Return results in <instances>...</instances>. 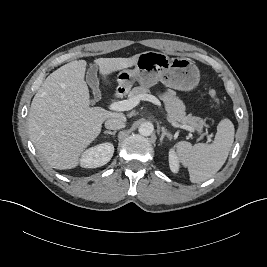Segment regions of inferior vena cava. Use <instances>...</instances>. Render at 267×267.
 <instances>
[{
	"label": "inferior vena cava",
	"instance_id": "inferior-vena-cava-1",
	"mask_svg": "<svg viewBox=\"0 0 267 267\" xmlns=\"http://www.w3.org/2000/svg\"><path fill=\"white\" fill-rule=\"evenodd\" d=\"M105 127L111 130H118L125 127V120L120 118H109L105 121Z\"/></svg>",
	"mask_w": 267,
	"mask_h": 267
}]
</instances>
